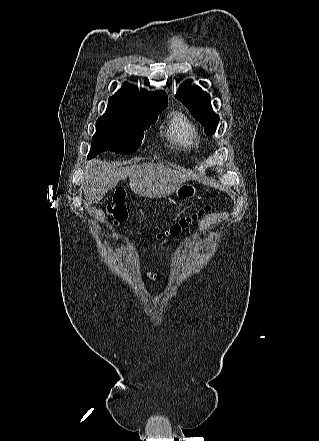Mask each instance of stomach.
<instances>
[{"label":"stomach","mask_w":319,"mask_h":441,"mask_svg":"<svg viewBox=\"0 0 319 441\" xmlns=\"http://www.w3.org/2000/svg\"><path fill=\"white\" fill-rule=\"evenodd\" d=\"M196 194H197L196 188L193 185L187 183H183L175 190L176 197L181 200L194 198Z\"/></svg>","instance_id":"obj_1"}]
</instances>
